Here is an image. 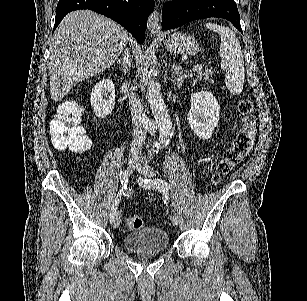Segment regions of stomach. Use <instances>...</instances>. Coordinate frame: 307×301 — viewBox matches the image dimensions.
<instances>
[{
	"label": "stomach",
	"mask_w": 307,
	"mask_h": 301,
	"mask_svg": "<svg viewBox=\"0 0 307 301\" xmlns=\"http://www.w3.org/2000/svg\"><path fill=\"white\" fill-rule=\"evenodd\" d=\"M164 44L167 50L176 54H197L200 48L196 38L186 32H173L165 38Z\"/></svg>",
	"instance_id": "1"
}]
</instances>
